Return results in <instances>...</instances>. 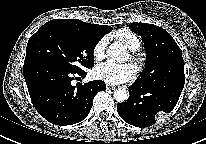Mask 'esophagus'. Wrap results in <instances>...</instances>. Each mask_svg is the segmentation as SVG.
Masks as SVG:
<instances>
[{
  "label": "esophagus",
  "instance_id": "esophagus-1",
  "mask_svg": "<svg viewBox=\"0 0 206 144\" xmlns=\"http://www.w3.org/2000/svg\"><path fill=\"white\" fill-rule=\"evenodd\" d=\"M107 89H108V90H115L116 87H115V86H112V85H107Z\"/></svg>",
  "mask_w": 206,
  "mask_h": 144
}]
</instances>
